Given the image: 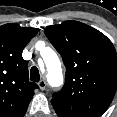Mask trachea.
<instances>
[{"label": "trachea", "instance_id": "trachea-1", "mask_svg": "<svg viewBox=\"0 0 117 117\" xmlns=\"http://www.w3.org/2000/svg\"><path fill=\"white\" fill-rule=\"evenodd\" d=\"M30 79L33 82H39V80H40V74H39L38 68L36 66H33L30 69Z\"/></svg>", "mask_w": 117, "mask_h": 117}]
</instances>
